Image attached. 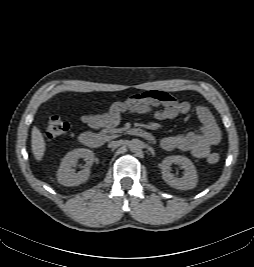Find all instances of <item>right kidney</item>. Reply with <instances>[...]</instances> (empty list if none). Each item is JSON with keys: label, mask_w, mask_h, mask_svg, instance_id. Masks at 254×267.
<instances>
[{"label": "right kidney", "mask_w": 254, "mask_h": 267, "mask_svg": "<svg viewBox=\"0 0 254 267\" xmlns=\"http://www.w3.org/2000/svg\"><path fill=\"white\" fill-rule=\"evenodd\" d=\"M83 158L89 166L94 161V153L85 148H77L68 152L60 163L57 171V180L64 186H78L86 182L90 176V167L75 173L73 167L78 159Z\"/></svg>", "instance_id": "right-kidney-1"}]
</instances>
